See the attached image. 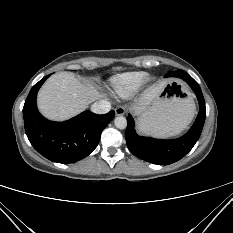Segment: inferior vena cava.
I'll list each match as a JSON object with an SVG mask.
<instances>
[{
    "mask_svg": "<svg viewBox=\"0 0 233 233\" xmlns=\"http://www.w3.org/2000/svg\"><path fill=\"white\" fill-rule=\"evenodd\" d=\"M111 110V104L107 100L94 102L91 106V111L96 114H106Z\"/></svg>",
    "mask_w": 233,
    "mask_h": 233,
    "instance_id": "1",
    "label": "inferior vena cava"
}]
</instances>
